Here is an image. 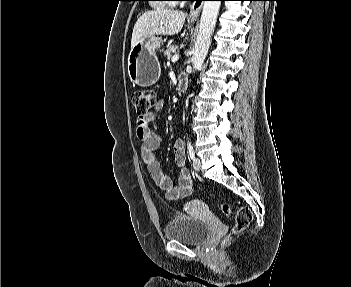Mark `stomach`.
Wrapping results in <instances>:
<instances>
[{
	"instance_id": "1",
	"label": "stomach",
	"mask_w": 351,
	"mask_h": 287,
	"mask_svg": "<svg viewBox=\"0 0 351 287\" xmlns=\"http://www.w3.org/2000/svg\"><path fill=\"white\" fill-rule=\"evenodd\" d=\"M162 42L161 37L148 36L139 40L131 49L128 56V74L133 83L149 87L157 82L161 69L156 50L161 47Z\"/></svg>"
}]
</instances>
